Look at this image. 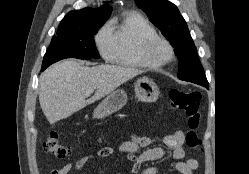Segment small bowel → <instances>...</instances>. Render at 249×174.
<instances>
[{"label":"small bowel","instance_id":"1","mask_svg":"<svg viewBox=\"0 0 249 174\" xmlns=\"http://www.w3.org/2000/svg\"><path fill=\"white\" fill-rule=\"evenodd\" d=\"M185 135L181 130H176L171 134L162 137L161 142L164 147L171 149V158L175 161V169L179 174H193L198 169L199 163L194 158L185 159L183 148ZM152 139L148 136L132 134L131 139L123 142L118 148L103 147L97 152L99 158H106L115 154H124L131 163V170L137 174H158L155 167H144L142 164L149 161L160 160L165 156L163 147H151L140 154L137 152L141 148L149 147ZM94 158V155H86L69 162L59 169H53L50 174H78L84 166Z\"/></svg>","mask_w":249,"mask_h":174}]
</instances>
